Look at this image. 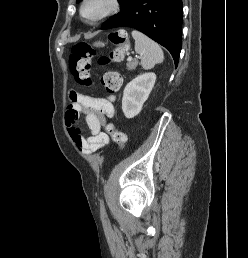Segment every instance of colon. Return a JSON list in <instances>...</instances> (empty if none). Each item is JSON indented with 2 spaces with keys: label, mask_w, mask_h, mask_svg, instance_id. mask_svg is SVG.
I'll return each instance as SVG.
<instances>
[{
  "label": "colon",
  "mask_w": 248,
  "mask_h": 258,
  "mask_svg": "<svg viewBox=\"0 0 248 258\" xmlns=\"http://www.w3.org/2000/svg\"><path fill=\"white\" fill-rule=\"evenodd\" d=\"M110 41L116 46L108 57H102L99 62L101 65L108 62H118L123 59L129 50V41L127 33L124 30H118L110 33ZM94 55V50L86 43H77L73 45L69 55V68L75 81L89 87L93 84L91 74V60ZM103 84L108 91H117L120 88L121 82L117 75L108 73L103 78ZM105 131L112 139L122 146L126 142V134L115 128L111 123L106 124Z\"/></svg>",
  "instance_id": "obj_1"
}]
</instances>
